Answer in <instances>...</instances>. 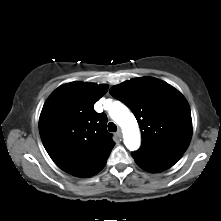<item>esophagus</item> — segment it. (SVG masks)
<instances>
[{"label": "esophagus", "instance_id": "obj_1", "mask_svg": "<svg viewBox=\"0 0 221 221\" xmlns=\"http://www.w3.org/2000/svg\"><path fill=\"white\" fill-rule=\"evenodd\" d=\"M116 136H117L119 139L122 138V131H121V129H119V130L117 131Z\"/></svg>", "mask_w": 221, "mask_h": 221}]
</instances>
